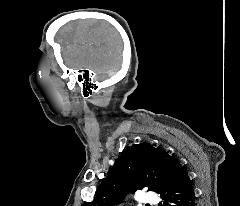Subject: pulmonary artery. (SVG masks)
I'll return each instance as SVG.
<instances>
[{
  "mask_svg": "<svg viewBox=\"0 0 240 206\" xmlns=\"http://www.w3.org/2000/svg\"><path fill=\"white\" fill-rule=\"evenodd\" d=\"M139 200L144 204L153 205V204H157L158 197L154 193L145 192L141 194Z\"/></svg>",
  "mask_w": 240,
  "mask_h": 206,
  "instance_id": "1",
  "label": "pulmonary artery"
}]
</instances>
